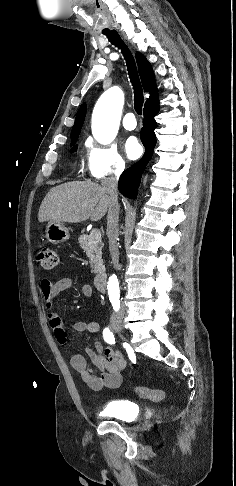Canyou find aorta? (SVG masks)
<instances>
[{
  "instance_id": "1",
  "label": "aorta",
  "mask_w": 236,
  "mask_h": 486,
  "mask_svg": "<svg viewBox=\"0 0 236 486\" xmlns=\"http://www.w3.org/2000/svg\"><path fill=\"white\" fill-rule=\"evenodd\" d=\"M124 94L118 87L108 89L98 100L92 115V134L101 144H110L116 137ZM109 296L119 295V283L116 275L108 280Z\"/></svg>"
}]
</instances>
